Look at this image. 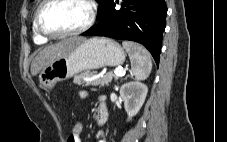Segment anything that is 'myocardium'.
Here are the masks:
<instances>
[{
  "label": "myocardium",
  "instance_id": "obj_1",
  "mask_svg": "<svg viewBox=\"0 0 227 142\" xmlns=\"http://www.w3.org/2000/svg\"><path fill=\"white\" fill-rule=\"evenodd\" d=\"M56 0H44L42 4L38 7L36 15H35V24L36 30L38 33L46 38H64L68 36L78 35L87 31L92 25L95 23L98 13V8L95 0H83V2L88 6L89 9V17L84 25L81 27L64 33H53L46 30L42 24V14L44 10Z\"/></svg>",
  "mask_w": 227,
  "mask_h": 142
}]
</instances>
